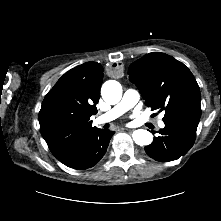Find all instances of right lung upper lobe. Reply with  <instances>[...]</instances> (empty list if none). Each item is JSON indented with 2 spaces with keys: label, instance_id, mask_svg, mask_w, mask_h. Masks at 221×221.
Here are the masks:
<instances>
[{
  "label": "right lung upper lobe",
  "instance_id": "right-lung-upper-lobe-1",
  "mask_svg": "<svg viewBox=\"0 0 221 221\" xmlns=\"http://www.w3.org/2000/svg\"><path fill=\"white\" fill-rule=\"evenodd\" d=\"M102 78L101 64L88 62L66 72L45 96L40 129L56 158L96 129L90 117L97 113Z\"/></svg>",
  "mask_w": 221,
  "mask_h": 221
}]
</instances>
